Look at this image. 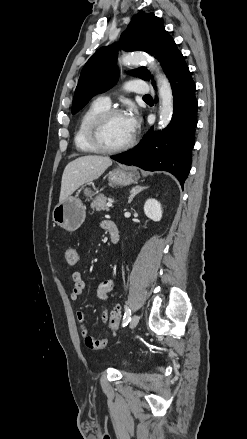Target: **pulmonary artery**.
<instances>
[{"instance_id":"1","label":"pulmonary artery","mask_w":247,"mask_h":439,"mask_svg":"<svg viewBox=\"0 0 247 439\" xmlns=\"http://www.w3.org/2000/svg\"><path fill=\"white\" fill-rule=\"evenodd\" d=\"M126 89L131 92L139 93V94H147L149 92L148 84L140 79L130 80L126 84ZM98 101L106 106H110L111 99L109 96H101L98 98Z\"/></svg>"}]
</instances>
